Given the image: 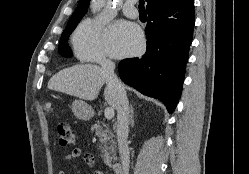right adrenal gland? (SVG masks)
Masks as SVG:
<instances>
[{
  "instance_id": "2a0ac1e0",
  "label": "right adrenal gland",
  "mask_w": 249,
  "mask_h": 174,
  "mask_svg": "<svg viewBox=\"0 0 249 174\" xmlns=\"http://www.w3.org/2000/svg\"><path fill=\"white\" fill-rule=\"evenodd\" d=\"M130 123L131 126L134 127V110L132 105H130Z\"/></svg>"
}]
</instances>
